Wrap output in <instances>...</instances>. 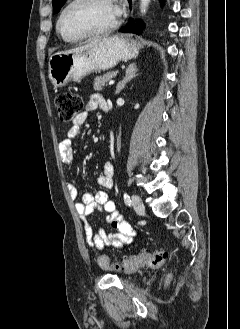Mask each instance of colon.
Wrapping results in <instances>:
<instances>
[{"label": "colon", "mask_w": 240, "mask_h": 329, "mask_svg": "<svg viewBox=\"0 0 240 329\" xmlns=\"http://www.w3.org/2000/svg\"><path fill=\"white\" fill-rule=\"evenodd\" d=\"M55 107L58 110L59 119L63 123H71L80 114L82 100L80 97L70 93H60L55 97ZM167 254L164 251L143 252L130 257L123 263H111L104 256L98 257V264L102 269L134 272L139 268L146 267L156 269L162 266ZM168 276V280L170 279Z\"/></svg>", "instance_id": "obj_1"}]
</instances>
